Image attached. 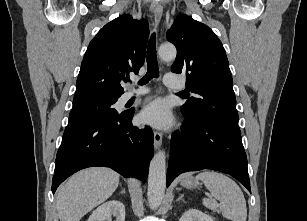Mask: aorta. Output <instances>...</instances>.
I'll return each instance as SVG.
<instances>
[{"label": "aorta", "instance_id": "obj_1", "mask_svg": "<svg viewBox=\"0 0 307 221\" xmlns=\"http://www.w3.org/2000/svg\"><path fill=\"white\" fill-rule=\"evenodd\" d=\"M159 56L164 61L175 59L177 51L173 45H163L159 48ZM166 188V155L165 151H158L152 158L148 175V202L152 209L162 203Z\"/></svg>", "mask_w": 307, "mask_h": 221}]
</instances>
